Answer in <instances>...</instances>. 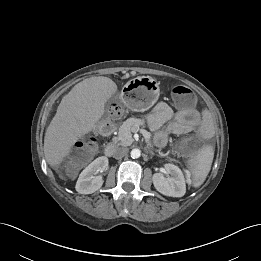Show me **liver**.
<instances>
[{
    "label": "liver",
    "instance_id": "1",
    "mask_svg": "<svg viewBox=\"0 0 261 261\" xmlns=\"http://www.w3.org/2000/svg\"><path fill=\"white\" fill-rule=\"evenodd\" d=\"M116 91L110 78L90 77L62 98L44 137L45 159L52 168L61 164L79 138L93 130Z\"/></svg>",
    "mask_w": 261,
    "mask_h": 261
}]
</instances>
